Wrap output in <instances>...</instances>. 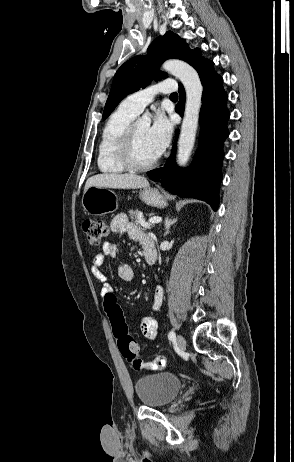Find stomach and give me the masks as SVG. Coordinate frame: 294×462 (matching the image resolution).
I'll return each instance as SVG.
<instances>
[{
  "mask_svg": "<svg viewBox=\"0 0 294 462\" xmlns=\"http://www.w3.org/2000/svg\"><path fill=\"white\" fill-rule=\"evenodd\" d=\"M140 198L147 205L164 208L167 201L155 188H144L140 191ZM84 210L94 216H103L118 209L116 194L106 187L91 186L85 190L82 197Z\"/></svg>",
  "mask_w": 294,
  "mask_h": 462,
  "instance_id": "stomach-1",
  "label": "stomach"
}]
</instances>
